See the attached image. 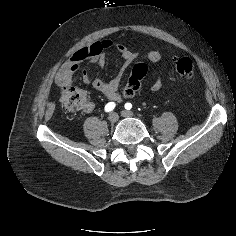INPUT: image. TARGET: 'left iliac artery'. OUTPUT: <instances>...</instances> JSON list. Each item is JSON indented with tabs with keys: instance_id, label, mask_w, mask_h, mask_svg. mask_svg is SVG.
<instances>
[{
	"instance_id": "obj_1",
	"label": "left iliac artery",
	"mask_w": 236,
	"mask_h": 236,
	"mask_svg": "<svg viewBox=\"0 0 236 236\" xmlns=\"http://www.w3.org/2000/svg\"><path fill=\"white\" fill-rule=\"evenodd\" d=\"M131 108H132V104L129 103V102H127V103L125 104V109L130 110Z\"/></svg>"
}]
</instances>
